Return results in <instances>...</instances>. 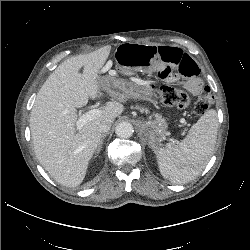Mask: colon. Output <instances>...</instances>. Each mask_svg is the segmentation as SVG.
I'll list each match as a JSON object with an SVG mask.
<instances>
[{"label":"colon","instance_id":"5ec220e1","mask_svg":"<svg viewBox=\"0 0 250 250\" xmlns=\"http://www.w3.org/2000/svg\"><path fill=\"white\" fill-rule=\"evenodd\" d=\"M154 88V87H153ZM161 98L162 102L167 106L178 108L186 107L189 102V96L184 91L172 86H160L154 88ZM213 103V96L209 89L205 88L194 104V112L203 114Z\"/></svg>","mask_w":250,"mask_h":250}]
</instances>
